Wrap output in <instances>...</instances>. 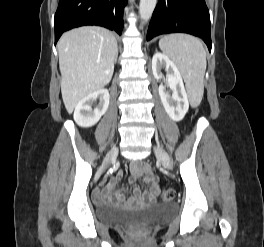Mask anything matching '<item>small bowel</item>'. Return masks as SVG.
Listing matches in <instances>:
<instances>
[{
  "instance_id": "small-bowel-1",
  "label": "small bowel",
  "mask_w": 264,
  "mask_h": 247,
  "mask_svg": "<svg viewBox=\"0 0 264 247\" xmlns=\"http://www.w3.org/2000/svg\"><path fill=\"white\" fill-rule=\"evenodd\" d=\"M132 172V179L136 180L142 178L148 185V190L144 195L140 193L138 189H135L133 202L139 201H152L159 192L158 181L155 174L151 171L149 165L145 162H133L130 166ZM123 173L119 172L117 176L105 187L97 189L94 193V198L98 202L112 201L116 203H122L125 201L123 193H115V189L119 181L122 179Z\"/></svg>"
}]
</instances>
